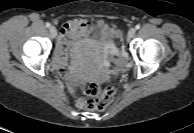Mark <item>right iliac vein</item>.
Segmentation results:
<instances>
[{"label": "right iliac vein", "mask_w": 194, "mask_h": 133, "mask_svg": "<svg viewBox=\"0 0 194 133\" xmlns=\"http://www.w3.org/2000/svg\"><path fill=\"white\" fill-rule=\"evenodd\" d=\"M50 34L53 38L57 36V29L54 26L50 27Z\"/></svg>", "instance_id": "obj_1"}]
</instances>
